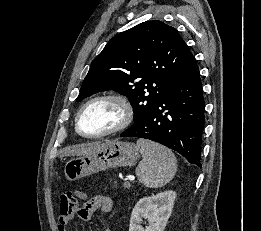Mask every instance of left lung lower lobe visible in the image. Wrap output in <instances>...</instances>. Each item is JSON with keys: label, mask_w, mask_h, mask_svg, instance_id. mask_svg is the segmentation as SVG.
Masks as SVG:
<instances>
[{"label": "left lung lower lobe", "mask_w": 261, "mask_h": 231, "mask_svg": "<svg viewBox=\"0 0 261 231\" xmlns=\"http://www.w3.org/2000/svg\"><path fill=\"white\" fill-rule=\"evenodd\" d=\"M205 103L197 63L174 83L164 98L120 137H140L163 144L201 167Z\"/></svg>", "instance_id": "left-lung-lower-lobe-1"}]
</instances>
